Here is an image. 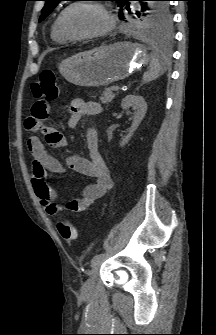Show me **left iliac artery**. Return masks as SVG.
Segmentation results:
<instances>
[{
	"label": "left iliac artery",
	"mask_w": 216,
	"mask_h": 335,
	"mask_svg": "<svg viewBox=\"0 0 216 335\" xmlns=\"http://www.w3.org/2000/svg\"><path fill=\"white\" fill-rule=\"evenodd\" d=\"M106 253H100V254H97L95 255L92 260H91V263L94 264L96 263L97 261L101 260L104 256H105Z\"/></svg>",
	"instance_id": "44dca946"
}]
</instances>
